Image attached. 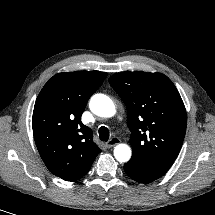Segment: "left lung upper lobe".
Wrapping results in <instances>:
<instances>
[{
	"label": "left lung upper lobe",
	"mask_w": 215,
	"mask_h": 215,
	"mask_svg": "<svg viewBox=\"0 0 215 215\" xmlns=\"http://www.w3.org/2000/svg\"><path fill=\"white\" fill-rule=\"evenodd\" d=\"M109 82L127 107L133 150L127 164L163 176L177 158L186 132L187 115L178 90L161 73L121 72Z\"/></svg>",
	"instance_id": "5c2ea615"
}]
</instances>
